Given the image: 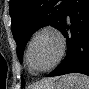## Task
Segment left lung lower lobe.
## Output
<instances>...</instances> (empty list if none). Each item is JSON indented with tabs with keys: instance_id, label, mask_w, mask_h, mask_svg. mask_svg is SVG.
<instances>
[{
	"instance_id": "1",
	"label": "left lung lower lobe",
	"mask_w": 89,
	"mask_h": 89,
	"mask_svg": "<svg viewBox=\"0 0 89 89\" xmlns=\"http://www.w3.org/2000/svg\"><path fill=\"white\" fill-rule=\"evenodd\" d=\"M66 37L67 54L47 76L82 73L89 76V0H70L60 30Z\"/></svg>"
}]
</instances>
